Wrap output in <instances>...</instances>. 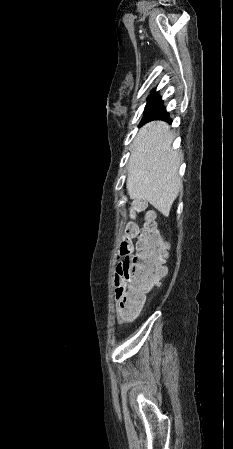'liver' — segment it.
<instances>
[{
	"label": "liver",
	"mask_w": 233,
	"mask_h": 449,
	"mask_svg": "<svg viewBox=\"0 0 233 449\" xmlns=\"http://www.w3.org/2000/svg\"><path fill=\"white\" fill-rule=\"evenodd\" d=\"M173 139L163 121L144 125L132 145L126 182L131 198L148 201L165 216L183 187L178 175L182 156L172 149Z\"/></svg>",
	"instance_id": "liver-1"
}]
</instances>
